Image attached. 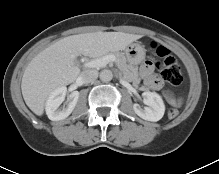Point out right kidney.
I'll return each mask as SVG.
<instances>
[{
	"label": "right kidney",
	"mask_w": 219,
	"mask_h": 174,
	"mask_svg": "<svg viewBox=\"0 0 219 174\" xmlns=\"http://www.w3.org/2000/svg\"><path fill=\"white\" fill-rule=\"evenodd\" d=\"M67 88L65 86L55 89L48 97L46 101V114L52 121H59L67 118L74 110L78 98L79 92L73 91L69 98L70 102L63 109H59V106L65 99Z\"/></svg>",
	"instance_id": "right-kidney-1"
}]
</instances>
